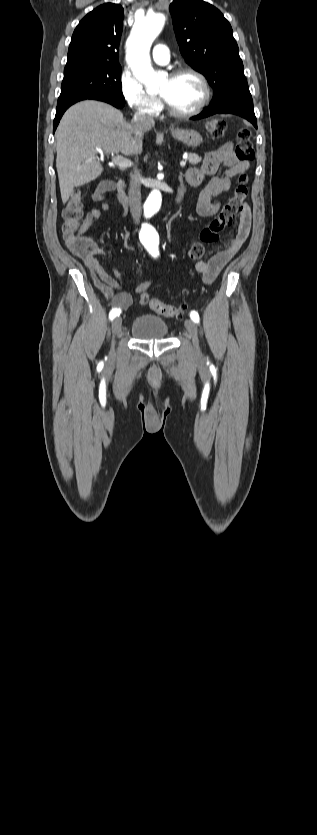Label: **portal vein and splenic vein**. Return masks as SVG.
<instances>
[{
  "instance_id": "portal-vein-and-splenic-vein-1",
  "label": "portal vein and splenic vein",
  "mask_w": 317,
  "mask_h": 835,
  "mask_svg": "<svg viewBox=\"0 0 317 835\" xmlns=\"http://www.w3.org/2000/svg\"><path fill=\"white\" fill-rule=\"evenodd\" d=\"M112 162H113L114 164H116L117 166L121 167V168L130 167V166L132 165V162H131L130 160H128V159H126V158H124V157H122V156H119V155L114 156L113 154H112ZM180 166H181L182 168H185V166H186V161H181V162H180Z\"/></svg>"
}]
</instances>
